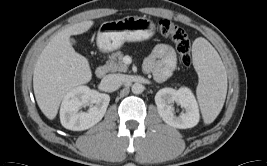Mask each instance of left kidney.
Segmentation results:
<instances>
[{
    "mask_svg": "<svg viewBox=\"0 0 267 166\" xmlns=\"http://www.w3.org/2000/svg\"><path fill=\"white\" fill-rule=\"evenodd\" d=\"M155 103L163 121L174 128H192L199 122L198 104L189 88L182 87L178 90L173 88L160 89L155 95ZM174 103L184 108L185 113L177 116L174 112Z\"/></svg>",
    "mask_w": 267,
    "mask_h": 166,
    "instance_id": "5707ae66",
    "label": "left kidney"
}]
</instances>
